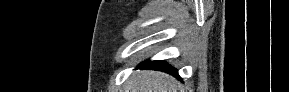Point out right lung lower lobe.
I'll return each instance as SVG.
<instances>
[{
  "mask_svg": "<svg viewBox=\"0 0 289 92\" xmlns=\"http://www.w3.org/2000/svg\"><path fill=\"white\" fill-rule=\"evenodd\" d=\"M139 69L159 70L172 74L179 78L175 68L169 66L165 61H146L138 66Z\"/></svg>",
  "mask_w": 289,
  "mask_h": 92,
  "instance_id": "1",
  "label": "right lung lower lobe"
}]
</instances>
